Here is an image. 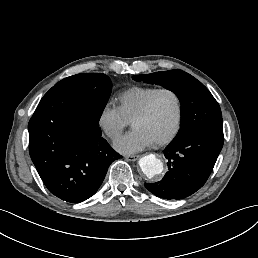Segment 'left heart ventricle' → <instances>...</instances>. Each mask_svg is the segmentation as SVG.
I'll return each mask as SVG.
<instances>
[{"instance_id":"1","label":"left heart ventricle","mask_w":258,"mask_h":258,"mask_svg":"<svg viewBox=\"0 0 258 258\" xmlns=\"http://www.w3.org/2000/svg\"><path fill=\"white\" fill-rule=\"evenodd\" d=\"M176 112V100L170 93L159 97L155 104L151 128L158 135H165L171 128Z\"/></svg>"}]
</instances>
